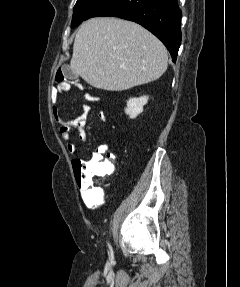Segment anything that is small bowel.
Here are the masks:
<instances>
[{
    "label": "small bowel",
    "mask_w": 240,
    "mask_h": 287,
    "mask_svg": "<svg viewBox=\"0 0 240 287\" xmlns=\"http://www.w3.org/2000/svg\"><path fill=\"white\" fill-rule=\"evenodd\" d=\"M77 87H80V85H77ZM68 89L69 87H66L65 91ZM84 98L88 102H97L100 100L98 96L90 93H86ZM88 112L89 106L85 104L82 106L81 114L72 120H66L61 114L59 106L53 110L54 120L58 125L61 138L66 142L67 151L70 153H73L76 150V145L70 140L71 130H77L79 139L81 141L86 142L87 140V133L85 128L87 124ZM98 118L102 122L107 120L104 112H99ZM108 149L109 146L106 143L100 144L93 152L91 160L96 161L104 159V154L108 152ZM82 199L86 206L89 208H96L102 204V197L95 189L91 190L87 195L82 193Z\"/></svg>",
    "instance_id": "1"
}]
</instances>
